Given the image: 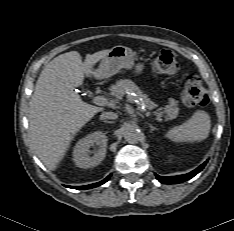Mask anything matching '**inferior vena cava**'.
Listing matches in <instances>:
<instances>
[{
	"label": "inferior vena cava",
	"mask_w": 234,
	"mask_h": 231,
	"mask_svg": "<svg viewBox=\"0 0 234 231\" xmlns=\"http://www.w3.org/2000/svg\"><path fill=\"white\" fill-rule=\"evenodd\" d=\"M118 118V115L114 112H103L101 115H100V119H117Z\"/></svg>",
	"instance_id": "602c4592"
}]
</instances>
